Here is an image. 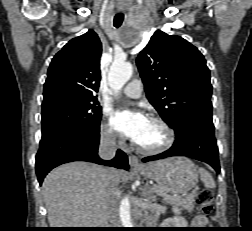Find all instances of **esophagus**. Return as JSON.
Masks as SVG:
<instances>
[{"label": "esophagus", "mask_w": 252, "mask_h": 231, "mask_svg": "<svg viewBox=\"0 0 252 231\" xmlns=\"http://www.w3.org/2000/svg\"><path fill=\"white\" fill-rule=\"evenodd\" d=\"M128 159H129L130 166H132V167H140L141 166L139 159L135 155H130L128 157Z\"/></svg>", "instance_id": "obj_1"}]
</instances>
